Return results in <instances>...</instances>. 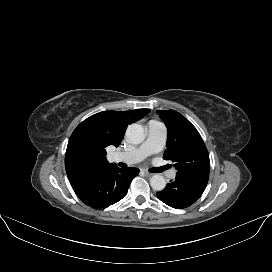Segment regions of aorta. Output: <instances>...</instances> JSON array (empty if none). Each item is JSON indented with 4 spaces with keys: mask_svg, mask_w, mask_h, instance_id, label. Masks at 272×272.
<instances>
[{
    "mask_svg": "<svg viewBox=\"0 0 272 272\" xmlns=\"http://www.w3.org/2000/svg\"><path fill=\"white\" fill-rule=\"evenodd\" d=\"M145 131L144 128L137 123H132L127 127L126 138L133 144H140L145 140ZM151 187L156 191H162L166 186L165 178L156 174L153 175L150 179Z\"/></svg>",
    "mask_w": 272,
    "mask_h": 272,
    "instance_id": "1",
    "label": "aorta"
}]
</instances>
